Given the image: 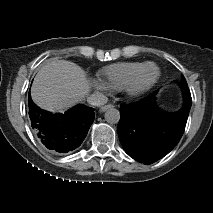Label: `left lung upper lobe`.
Instances as JSON below:
<instances>
[{"label":"left lung upper lobe","mask_w":213,"mask_h":213,"mask_svg":"<svg viewBox=\"0 0 213 213\" xmlns=\"http://www.w3.org/2000/svg\"><path fill=\"white\" fill-rule=\"evenodd\" d=\"M182 82H186L185 78L183 77V81Z\"/></svg>","instance_id":"5c2ea615"}]
</instances>
